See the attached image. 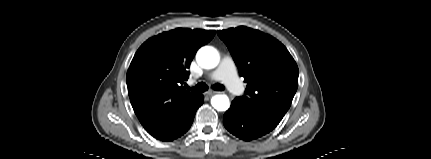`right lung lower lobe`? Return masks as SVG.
<instances>
[{
	"label": "right lung lower lobe",
	"instance_id": "1",
	"mask_svg": "<svg viewBox=\"0 0 431 159\" xmlns=\"http://www.w3.org/2000/svg\"><path fill=\"white\" fill-rule=\"evenodd\" d=\"M203 102L204 96L202 94L195 95L161 130L152 136L161 141H172L182 136L192 125L195 113Z\"/></svg>",
	"mask_w": 431,
	"mask_h": 159
}]
</instances>
